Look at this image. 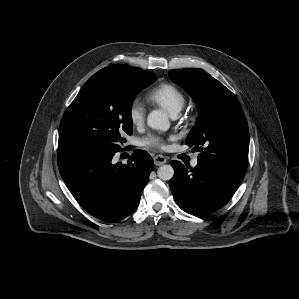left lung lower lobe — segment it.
I'll return each mask as SVG.
<instances>
[{
	"mask_svg": "<svg viewBox=\"0 0 299 299\" xmlns=\"http://www.w3.org/2000/svg\"><path fill=\"white\" fill-rule=\"evenodd\" d=\"M174 176L170 188L176 203L185 212L204 216L221 209L240 186L245 172L198 161L187 170L179 161H171Z\"/></svg>",
	"mask_w": 299,
	"mask_h": 299,
	"instance_id": "0a47b994",
	"label": "left lung lower lobe"
}]
</instances>
